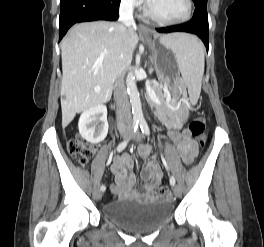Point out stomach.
<instances>
[{
	"label": "stomach",
	"mask_w": 264,
	"mask_h": 247,
	"mask_svg": "<svg viewBox=\"0 0 264 247\" xmlns=\"http://www.w3.org/2000/svg\"><path fill=\"white\" fill-rule=\"evenodd\" d=\"M169 39L161 37L159 40L160 44H155L149 38L147 40L150 42L152 60L157 73L169 75L172 78V75H177L178 71L176 70L177 63H171L176 62V57H174V53H170ZM174 82H177V79H174Z\"/></svg>",
	"instance_id": "stomach-1"
}]
</instances>
